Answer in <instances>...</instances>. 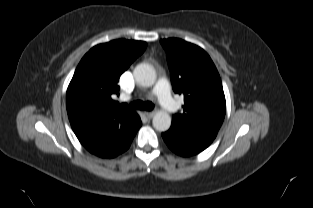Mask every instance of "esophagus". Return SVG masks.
I'll use <instances>...</instances> for the list:
<instances>
[{"label": "esophagus", "mask_w": 313, "mask_h": 208, "mask_svg": "<svg viewBox=\"0 0 313 208\" xmlns=\"http://www.w3.org/2000/svg\"><path fill=\"white\" fill-rule=\"evenodd\" d=\"M144 115L148 118V119H152L155 115V112H145Z\"/></svg>", "instance_id": "34e87169"}]
</instances>
